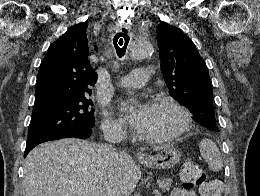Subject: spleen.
Listing matches in <instances>:
<instances>
[{"mask_svg": "<svg viewBox=\"0 0 260 196\" xmlns=\"http://www.w3.org/2000/svg\"><path fill=\"white\" fill-rule=\"evenodd\" d=\"M199 150L203 160L207 162L209 170H212V172H220V170H222L223 162L221 152L212 140L203 138L200 142Z\"/></svg>", "mask_w": 260, "mask_h": 196, "instance_id": "1", "label": "spleen"}]
</instances>
